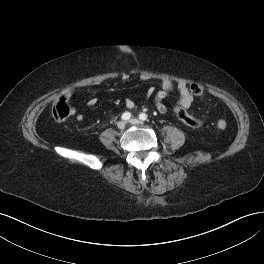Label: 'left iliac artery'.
<instances>
[{"label": "left iliac artery", "mask_w": 264, "mask_h": 264, "mask_svg": "<svg viewBox=\"0 0 264 264\" xmlns=\"http://www.w3.org/2000/svg\"><path fill=\"white\" fill-rule=\"evenodd\" d=\"M139 119L142 120V121H145L147 119V115L145 113H141L139 115Z\"/></svg>", "instance_id": "obj_1"}]
</instances>
